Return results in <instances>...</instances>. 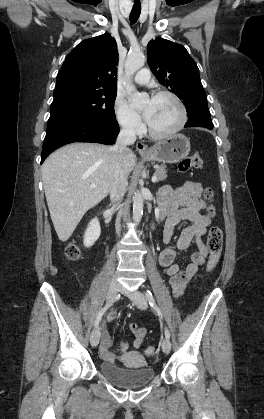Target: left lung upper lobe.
Returning a JSON list of instances; mask_svg holds the SVG:
<instances>
[{
    "label": "left lung upper lobe",
    "mask_w": 264,
    "mask_h": 419,
    "mask_svg": "<svg viewBox=\"0 0 264 419\" xmlns=\"http://www.w3.org/2000/svg\"><path fill=\"white\" fill-rule=\"evenodd\" d=\"M147 63L157 80L183 100L187 114L208 110L199 69L184 46L162 38L152 40Z\"/></svg>",
    "instance_id": "5c2ea615"
}]
</instances>
